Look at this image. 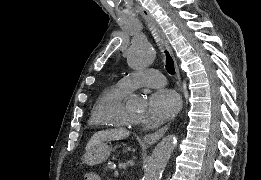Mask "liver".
I'll list each match as a JSON object with an SVG mask.
<instances>
[{
  "instance_id": "liver-1",
  "label": "liver",
  "mask_w": 261,
  "mask_h": 180,
  "mask_svg": "<svg viewBox=\"0 0 261 180\" xmlns=\"http://www.w3.org/2000/svg\"><path fill=\"white\" fill-rule=\"evenodd\" d=\"M130 132L125 128H116V130H102V132H96L91 136L88 144H86V152H89L91 148L101 144V142H113V140H124L129 136Z\"/></svg>"
}]
</instances>
